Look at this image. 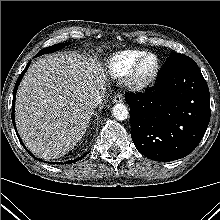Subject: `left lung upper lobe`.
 <instances>
[{
    "instance_id": "obj_1",
    "label": "left lung upper lobe",
    "mask_w": 220,
    "mask_h": 220,
    "mask_svg": "<svg viewBox=\"0 0 220 220\" xmlns=\"http://www.w3.org/2000/svg\"><path fill=\"white\" fill-rule=\"evenodd\" d=\"M184 56H186V55H183V54H179V53L174 52V53H172L169 57L180 58V57H184Z\"/></svg>"
}]
</instances>
